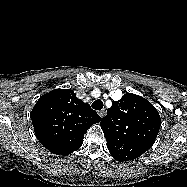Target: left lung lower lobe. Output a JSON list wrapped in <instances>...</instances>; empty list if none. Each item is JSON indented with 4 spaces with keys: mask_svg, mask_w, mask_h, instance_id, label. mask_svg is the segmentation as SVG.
<instances>
[{
    "mask_svg": "<svg viewBox=\"0 0 187 187\" xmlns=\"http://www.w3.org/2000/svg\"><path fill=\"white\" fill-rule=\"evenodd\" d=\"M114 159H116V160H118V161H120V162H123V161L119 160L118 158H115V157H114Z\"/></svg>",
    "mask_w": 187,
    "mask_h": 187,
    "instance_id": "obj_1",
    "label": "left lung lower lobe"
}]
</instances>
